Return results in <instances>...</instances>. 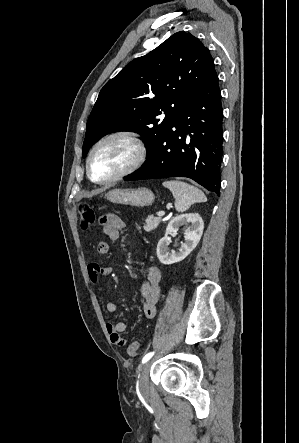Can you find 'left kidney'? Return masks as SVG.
<instances>
[{
	"label": "left kidney",
	"instance_id": "5707ae66",
	"mask_svg": "<svg viewBox=\"0 0 299 443\" xmlns=\"http://www.w3.org/2000/svg\"><path fill=\"white\" fill-rule=\"evenodd\" d=\"M185 230V242L181 244L178 251L169 250L168 246L171 242L170 234L177 232L183 224H189ZM204 229V222L198 213L182 214L174 217L168 224L165 236L161 238L157 244V257L164 265L177 263L185 259L198 245Z\"/></svg>",
	"mask_w": 299,
	"mask_h": 443
}]
</instances>
